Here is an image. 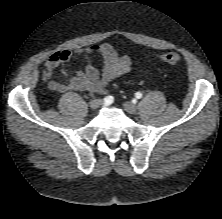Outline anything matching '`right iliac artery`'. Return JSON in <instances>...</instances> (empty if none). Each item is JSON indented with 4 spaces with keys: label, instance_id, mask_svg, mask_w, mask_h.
<instances>
[{
    "label": "right iliac artery",
    "instance_id": "right-iliac-artery-1",
    "mask_svg": "<svg viewBox=\"0 0 222 219\" xmlns=\"http://www.w3.org/2000/svg\"><path fill=\"white\" fill-rule=\"evenodd\" d=\"M104 101L106 104H111L114 101V98L112 96H107L104 98Z\"/></svg>",
    "mask_w": 222,
    "mask_h": 219
}]
</instances>
